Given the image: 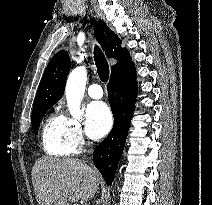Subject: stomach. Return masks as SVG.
I'll return each mask as SVG.
<instances>
[{
	"instance_id": "0dacf381",
	"label": "stomach",
	"mask_w": 212,
	"mask_h": 205,
	"mask_svg": "<svg viewBox=\"0 0 212 205\" xmlns=\"http://www.w3.org/2000/svg\"><path fill=\"white\" fill-rule=\"evenodd\" d=\"M54 205H69L67 201H58Z\"/></svg>"
}]
</instances>
